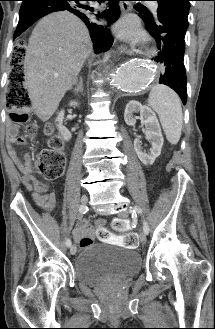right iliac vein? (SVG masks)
<instances>
[{"mask_svg":"<svg viewBox=\"0 0 215 329\" xmlns=\"http://www.w3.org/2000/svg\"><path fill=\"white\" fill-rule=\"evenodd\" d=\"M87 202H88V197L86 195H83L81 197V205L82 206H86ZM76 251H77L76 246L75 245H72L71 248H70V253L72 255H75L76 254Z\"/></svg>","mask_w":215,"mask_h":329,"instance_id":"obj_1","label":"right iliac vein"}]
</instances>
